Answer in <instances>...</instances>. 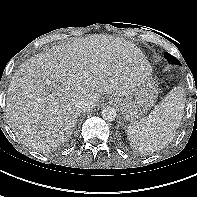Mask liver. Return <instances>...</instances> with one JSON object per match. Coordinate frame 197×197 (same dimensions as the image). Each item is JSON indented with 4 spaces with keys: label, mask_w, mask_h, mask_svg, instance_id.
<instances>
[{
    "label": "liver",
    "mask_w": 197,
    "mask_h": 197,
    "mask_svg": "<svg viewBox=\"0 0 197 197\" xmlns=\"http://www.w3.org/2000/svg\"><path fill=\"white\" fill-rule=\"evenodd\" d=\"M150 72L142 51L119 37L97 34L55 45L12 77L8 123L22 144L48 153L72 135L81 99L95 106L101 94L127 96Z\"/></svg>",
    "instance_id": "obj_1"
}]
</instances>
